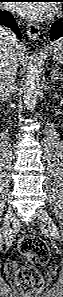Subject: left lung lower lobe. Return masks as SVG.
I'll use <instances>...</instances> for the list:
<instances>
[{
  "label": "left lung lower lobe",
  "instance_id": "0a47b994",
  "mask_svg": "<svg viewBox=\"0 0 63 297\" xmlns=\"http://www.w3.org/2000/svg\"><path fill=\"white\" fill-rule=\"evenodd\" d=\"M63 37V19L55 22L51 26L50 38L51 40Z\"/></svg>",
  "mask_w": 63,
  "mask_h": 297
}]
</instances>
